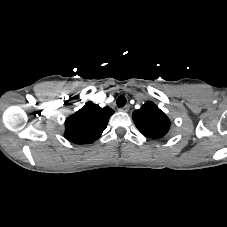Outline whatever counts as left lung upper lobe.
Segmentation results:
<instances>
[{"mask_svg": "<svg viewBox=\"0 0 227 227\" xmlns=\"http://www.w3.org/2000/svg\"><path fill=\"white\" fill-rule=\"evenodd\" d=\"M132 117L138 130L146 137L158 139L169 131V118L153 102H147L135 110Z\"/></svg>", "mask_w": 227, "mask_h": 227, "instance_id": "obj_1", "label": "left lung upper lobe"}]
</instances>
